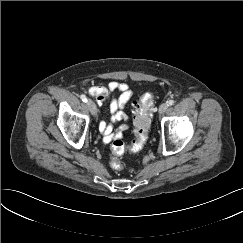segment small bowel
Returning <instances> with one entry per match:
<instances>
[{
  "label": "small bowel",
  "instance_id": "obj_1",
  "mask_svg": "<svg viewBox=\"0 0 243 243\" xmlns=\"http://www.w3.org/2000/svg\"><path fill=\"white\" fill-rule=\"evenodd\" d=\"M118 91L121 95L118 98H112L111 93ZM89 94L95 98L98 105L109 102V109L112 114L110 121H101L100 131L103 135V141L109 143L115 139L123 137L128 129V124H123L114 129L113 123L119 120L127 121L128 117L124 113V108L132 96V91L126 83L111 81L107 86H93L88 89Z\"/></svg>",
  "mask_w": 243,
  "mask_h": 243
}]
</instances>
